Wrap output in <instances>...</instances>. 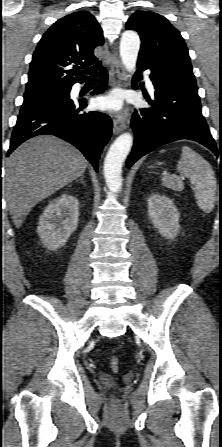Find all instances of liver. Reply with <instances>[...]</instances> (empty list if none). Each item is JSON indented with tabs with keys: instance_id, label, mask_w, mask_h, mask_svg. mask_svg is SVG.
<instances>
[{
	"instance_id": "liver-1",
	"label": "liver",
	"mask_w": 222,
	"mask_h": 447,
	"mask_svg": "<svg viewBox=\"0 0 222 447\" xmlns=\"http://www.w3.org/2000/svg\"><path fill=\"white\" fill-rule=\"evenodd\" d=\"M87 165L80 151L54 136L20 145L5 163V198L15 227L38 202L82 176Z\"/></svg>"
}]
</instances>
